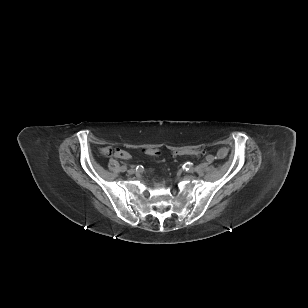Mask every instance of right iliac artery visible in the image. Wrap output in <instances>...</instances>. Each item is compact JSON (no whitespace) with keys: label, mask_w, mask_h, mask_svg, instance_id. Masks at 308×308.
<instances>
[{"label":"right iliac artery","mask_w":308,"mask_h":308,"mask_svg":"<svg viewBox=\"0 0 308 308\" xmlns=\"http://www.w3.org/2000/svg\"><path fill=\"white\" fill-rule=\"evenodd\" d=\"M120 170H121L122 172H125V171L127 170V166H126V165L121 166V167H120Z\"/></svg>","instance_id":"obj_1"}]
</instances>
